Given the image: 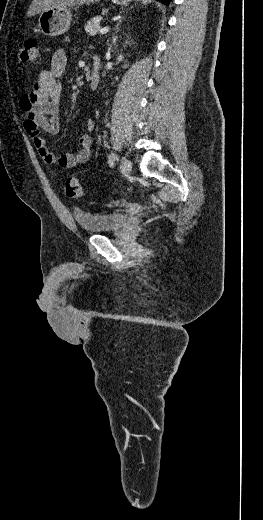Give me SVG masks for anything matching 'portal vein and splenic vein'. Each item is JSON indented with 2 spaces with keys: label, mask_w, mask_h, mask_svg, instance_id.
Wrapping results in <instances>:
<instances>
[{
  "label": "portal vein and splenic vein",
  "mask_w": 263,
  "mask_h": 520,
  "mask_svg": "<svg viewBox=\"0 0 263 520\" xmlns=\"http://www.w3.org/2000/svg\"><path fill=\"white\" fill-rule=\"evenodd\" d=\"M109 31V27H104L102 29H100V34H105Z\"/></svg>",
  "instance_id": "1"
}]
</instances>
